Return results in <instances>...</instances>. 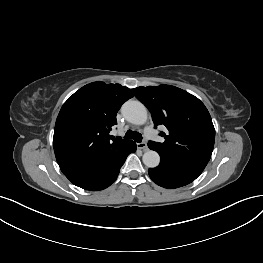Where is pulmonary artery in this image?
<instances>
[{
    "label": "pulmonary artery",
    "instance_id": "e3ab8cb5",
    "mask_svg": "<svg viewBox=\"0 0 263 263\" xmlns=\"http://www.w3.org/2000/svg\"><path fill=\"white\" fill-rule=\"evenodd\" d=\"M147 136L153 139L155 137V133L152 131H148Z\"/></svg>",
    "mask_w": 263,
    "mask_h": 263
}]
</instances>
